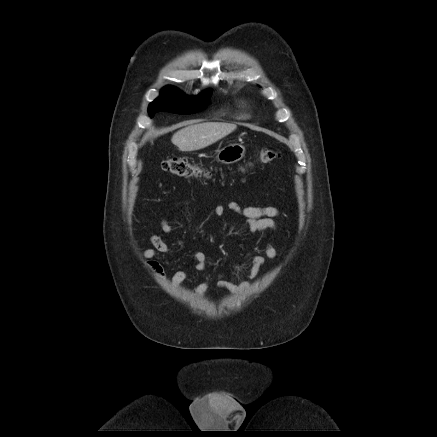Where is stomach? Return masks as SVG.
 <instances>
[{
	"label": "stomach",
	"mask_w": 437,
	"mask_h": 437,
	"mask_svg": "<svg viewBox=\"0 0 437 437\" xmlns=\"http://www.w3.org/2000/svg\"><path fill=\"white\" fill-rule=\"evenodd\" d=\"M245 155V147L241 144H229L220 149L216 159L222 164H233L240 161Z\"/></svg>",
	"instance_id": "obj_1"
}]
</instances>
